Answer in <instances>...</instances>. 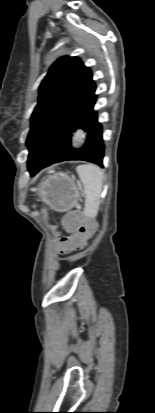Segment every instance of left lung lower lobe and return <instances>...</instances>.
Returning <instances> with one entry per match:
<instances>
[{
    "instance_id": "1",
    "label": "left lung lower lobe",
    "mask_w": 155,
    "mask_h": 413,
    "mask_svg": "<svg viewBox=\"0 0 155 413\" xmlns=\"http://www.w3.org/2000/svg\"><path fill=\"white\" fill-rule=\"evenodd\" d=\"M95 102L96 96L94 94L81 113L74 129L62 132V134L58 136L56 144L59 150L49 160L31 170V176H34L38 171L52 163L65 160H85L103 167L104 145L101 124L97 121V114L94 111ZM77 129H82L85 132L86 141L84 147L81 149H74L71 146L72 134Z\"/></svg>"
}]
</instances>
